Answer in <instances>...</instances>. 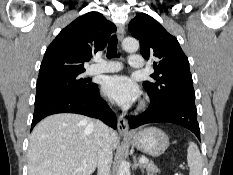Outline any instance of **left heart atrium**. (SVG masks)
Masks as SVG:
<instances>
[{
	"label": "left heart atrium",
	"instance_id": "left-heart-atrium-1",
	"mask_svg": "<svg viewBox=\"0 0 233 175\" xmlns=\"http://www.w3.org/2000/svg\"><path fill=\"white\" fill-rule=\"evenodd\" d=\"M102 89L106 96L120 105H130L139 97L138 86L127 76L108 77Z\"/></svg>",
	"mask_w": 233,
	"mask_h": 175
}]
</instances>
